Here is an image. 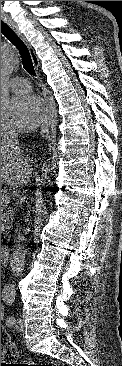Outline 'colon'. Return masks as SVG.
<instances>
[{"mask_svg": "<svg viewBox=\"0 0 122 366\" xmlns=\"http://www.w3.org/2000/svg\"><path fill=\"white\" fill-rule=\"evenodd\" d=\"M17 357L15 348L10 344L9 337L5 330L1 328V359L15 360ZM12 366H56L53 364L45 363L42 365H35L31 362H25L23 364H12Z\"/></svg>", "mask_w": 122, "mask_h": 366, "instance_id": "colon-1", "label": "colon"}]
</instances>
